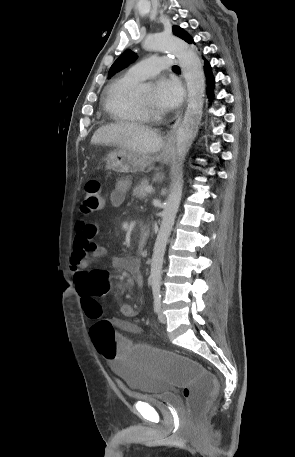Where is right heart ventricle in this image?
<instances>
[{
    "label": "right heart ventricle",
    "instance_id": "1",
    "mask_svg": "<svg viewBox=\"0 0 295 457\" xmlns=\"http://www.w3.org/2000/svg\"><path fill=\"white\" fill-rule=\"evenodd\" d=\"M137 84V81L124 75L113 80L106 87L103 105L114 121L134 124L146 122V113L131 96Z\"/></svg>",
    "mask_w": 295,
    "mask_h": 457
}]
</instances>
